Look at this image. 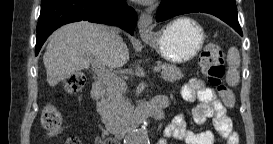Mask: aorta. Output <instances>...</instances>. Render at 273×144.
Returning a JSON list of instances; mask_svg holds the SVG:
<instances>
[{"mask_svg": "<svg viewBox=\"0 0 273 144\" xmlns=\"http://www.w3.org/2000/svg\"><path fill=\"white\" fill-rule=\"evenodd\" d=\"M126 144H149L148 132L143 126L126 137Z\"/></svg>", "mask_w": 273, "mask_h": 144, "instance_id": "1", "label": "aorta"}]
</instances>
